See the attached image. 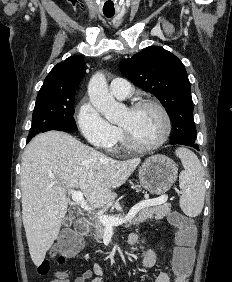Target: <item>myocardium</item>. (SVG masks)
I'll return each mask as SVG.
<instances>
[{
    "label": "myocardium",
    "mask_w": 232,
    "mask_h": 282,
    "mask_svg": "<svg viewBox=\"0 0 232 282\" xmlns=\"http://www.w3.org/2000/svg\"><path fill=\"white\" fill-rule=\"evenodd\" d=\"M146 106L153 107L161 113L164 119L165 128H164L163 135L156 142L151 143V144H139L133 140L128 130L125 127L120 125V131H121L122 138H123L125 145L128 148L135 150V151H151V150H155L161 147L169 139L171 131H172L171 117L168 111L166 110V108L163 105H161L159 102L150 100V99H143V100H139L133 103L128 109L131 111H135L139 108L146 107Z\"/></svg>",
    "instance_id": "1"
}]
</instances>
